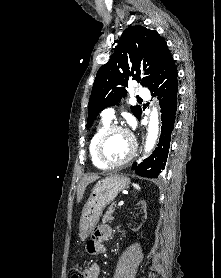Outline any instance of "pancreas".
I'll list each match as a JSON object with an SVG mask.
<instances>
[{"label": "pancreas", "mask_w": 221, "mask_h": 278, "mask_svg": "<svg viewBox=\"0 0 221 278\" xmlns=\"http://www.w3.org/2000/svg\"><path fill=\"white\" fill-rule=\"evenodd\" d=\"M114 210L110 207L103 216V222H111L113 220Z\"/></svg>", "instance_id": "cf45deb5"}]
</instances>
